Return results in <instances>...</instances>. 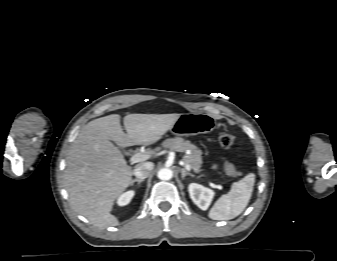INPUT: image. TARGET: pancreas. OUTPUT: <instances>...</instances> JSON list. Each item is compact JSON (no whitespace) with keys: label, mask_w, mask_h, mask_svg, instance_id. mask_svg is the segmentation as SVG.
I'll use <instances>...</instances> for the list:
<instances>
[{"label":"pancreas","mask_w":337,"mask_h":261,"mask_svg":"<svg viewBox=\"0 0 337 261\" xmlns=\"http://www.w3.org/2000/svg\"><path fill=\"white\" fill-rule=\"evenodd\" d=\"M163 147L179 152L190 151V154H186L183 157V161L185 164H189L195 173L201 172L202 152L195 145L191 144L190 141L184 140L180 137H175L165 140Z\"/></svg>","instance_id":"cf45deb5"}]
</instances>
